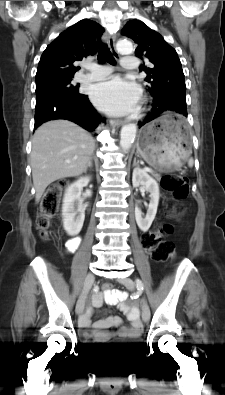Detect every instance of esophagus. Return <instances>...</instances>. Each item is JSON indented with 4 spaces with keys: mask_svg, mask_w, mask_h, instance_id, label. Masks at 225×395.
<instances>
[{
    "mask_svg": "<svg viewBox=\"0 0 225 395\" xmlns=\"http://www.w3.org/2000/svg\"><path fill=\"white\" fill-rule=\"evenodd\" d=\"M105 38H106V42H107V45H108L110 51L113 54L118 55L116 48H115V37L105 33ZM110 123L112 126H118V125H122L124 123V121L121 119H112L110 121Z\"/></svg>",
    "mask_w": 225,
    "mask_h": 395,
    "instance_id": "obj_1",
    "label": "esophagus"
}]
</instances>
